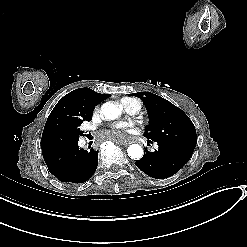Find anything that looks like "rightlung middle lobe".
<instances>
[{"instance_id":"1","label":"right lung middle lobe","mask_w":247,"mask_h":247,"mask_svg":"<svg viewBox=\"0 0 247 247\" xmlns=\"http://www.w3.org/2000/svg\"><path fill=\"white\" fill-rule=\"evenodd\" d=\"M81 124L82 123H78L71 128L53 134L48 139L44 148H42V151L54 150L78 142L79 136L82 135V132L79 129Z\"/></svg>"}]
</instances>
